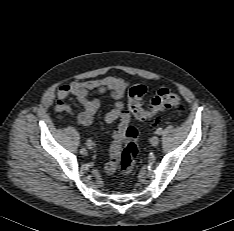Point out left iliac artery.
Returning <instances> with one entry per match:
<instances>
[{"mask_svg": "<svg viewBox=\"0 0 234 231\" xmlns=\"http://www.w3.org/2000/svg\"><path fill=\"white\" fill-rule=\"evenodd\" d=\"M156 134L161 135V134H162V129H161V128H158V129L156 130Z\"/></svg>", "mask_w": 234, "mask_h": 231, "instance_id": "left-iliac-artery-1", "label": "left iliac artery"}]
</instances>
